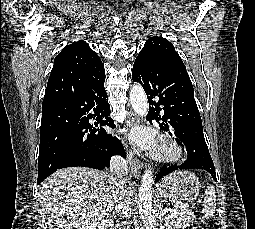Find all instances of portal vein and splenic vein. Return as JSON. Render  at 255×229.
Segmentation results:
<instances>
[{"label":"portal vein and splenic vein","mask_w":255,"mask_h":229,"mask_svg":"<svg viewBox=\"0 0 255 229\" xmlns=\"http://www.w3.org/2000/svg\"><path fill=\"white\" fill-rule=\"evenodd\" d=\"M176 212H178V211H175L173 209H165L163 214H166V213H176Z\"/></svg>","instance_id":"obj_1"}]
</instances>
